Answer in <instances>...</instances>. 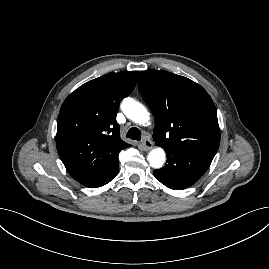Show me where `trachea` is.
<instances>
[{"label":"trachea","mask_w":269,"mask_h":269,"mask_svg":"<svg viewBox=\"0 0 269 269\" xmlns=\"http://www.w3.org/2000/svg\"><path fill=\"white\" fill-rule=\"evenodd\" d=\"M126 137L133 139V140L140 141L141 140V131L136 127H132L127 132Z\"/></svg>","instance_id":"3493384b"}]
</instances>
